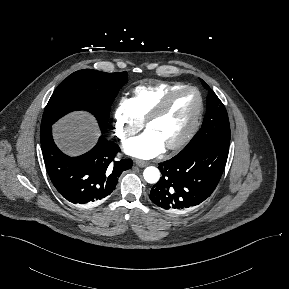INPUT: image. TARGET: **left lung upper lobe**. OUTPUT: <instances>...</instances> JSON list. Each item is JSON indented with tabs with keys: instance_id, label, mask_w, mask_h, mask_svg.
Masks as SVG:
<instances>
[{
	"instance_id": "5c2ea615",
	"label": "left lung upper lobe",
	"mask_w": 289,
	"mask_h": 289,
	"mask_svg": "<svg viewBox=\"0 0 289 289\" xmlns=\"http://www.w3.org/2000/svg\"><path fill=\"white\" fill-rule=\"evenodd\" d=\"M201 82L209 92L204 121L198 133L178 155L206 144H230V125L226 108L213 90L204 81Z\"/></svg>"
}]
</instances>
